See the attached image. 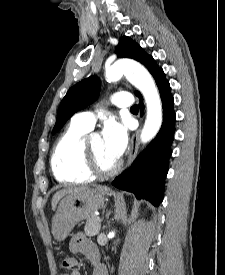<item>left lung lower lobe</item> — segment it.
<instances>
[{"label": "left lung lower lobe", "mask_w": 225, "mask_h": 275, "mask_svg": "<svg viewBox=\"0 0 225 275\" xmlns=\"http://www.w3.org/2000/svg\"><path fill=\"white\" fill-rule=\"evenodd\" d=\"M154 79L163 106L161 129L131 167L115 178L112 184L119 189L133 192L138 199L145 198L155 206H159L163 200L165 177L172 154L171 144L175 133V112L170 85L162 69L155 75ZM138 97L140 98L141 115H143V98L141 94Z\"/></svg>", "instance_id": "obj_1"}]
</instances>
